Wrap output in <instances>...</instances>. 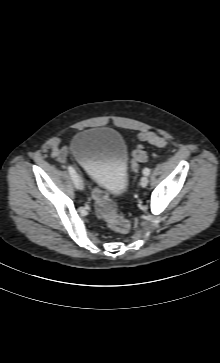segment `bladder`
Returning a JSON list of instances; mask_svg holds the SVG:
<instances>
[{
	"label": "bladder",
	"instance_id": "obj_1",
	"mask_svg": "<svg viewBox=\"0 0 220 363\" xmlns=\"http://www.w3.org/2000/svg\"><path fill=\"white\" fill-rule=\"evenodd\" d=\"M71 152L97 186L114 197L125 191L128 149L119 132L106 127L81 130L72 138Z\"/></svg>",
	"mask_w": 220,
	"mask_h": 363
}]
</instances>
